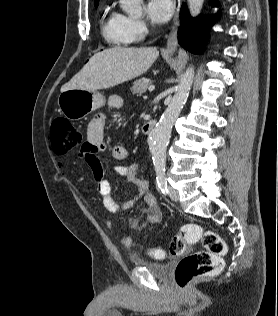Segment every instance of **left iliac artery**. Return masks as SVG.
Here are the masks:
<instances>
[{
	"label": "left iliac artery",
	"mask_w": 278,
	"mask_h": 316,
	"mask_svg": "<svg viewBox=\"0 0 278 316\" xmlns=\"http://www.w3.org/2000/svg\"><path fill=\"white\" fill-rule=\"evenodd\" d=\"M165 171L166 170L164 167L156 168V174H157L156 180H157L158 187L161 190V192L166 195L168 193V187H167Z\"/></svg>",
	"instance_id": "obj_1"
}]
</instances>
